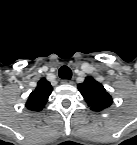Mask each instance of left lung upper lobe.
I'll use <instances>...</instances> for the list:
<instances>
[{"label":"left lung upper lobe","mask_w":137,"mask_h":145,"mask_svg":"<svg viewBox=\"0 0 137 145\" xmlns=\"http://www.w3.org/2000/svg\"><path fill=\"white\" fill-rule=\"evenodd\" d=\"M78 89L93 111H102L113 102L111 95L93 77H86L83 83L78 84Z\"/></svg>","instance_id":"1"}]
</instances>
